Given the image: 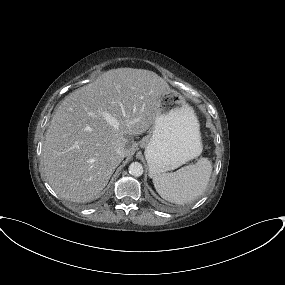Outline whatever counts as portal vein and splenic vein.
I'll use <instances>...</instances> for the list:
<instances>
[{
    "instance_id": "1",
    "label": "portal vein and splenic vein",
    "mask_w": 285,
    "mask_h": 285,
    "mask_svg": "<svg viewBox=\"0 0 285 285\" xmlns=\"http://www.w3.org/2000/svg\"><path fill=\"white\" fill-rule=\"evenodd\" d=\"M102 116L105 118V120L112 125L114 128H118L119 122L116 118L112 117L110 114L106 112H102Z\"/></svg>"
}]
</instances>
